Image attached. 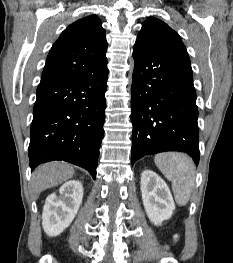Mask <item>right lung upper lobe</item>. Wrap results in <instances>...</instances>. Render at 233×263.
I'll use <instances>...</instances> for the list:
<instances>
[{"label": "right lung upper lobe", "instance_id": "right-lung-upper-lobe-1", "mask_svg": "<svg viewBox=\"0 0 233 263\" xmlns=\"http://www.w3.org/2000/svg\"><path fill=\"white\" fill-rule=\"evenodd\" d=\"M107 42L101 20L90 15L69 25L53 44L41 82L84 77L105 61Z\"/></svg>", "mask_w": 233, "mask_h": 263}]
</instances>
